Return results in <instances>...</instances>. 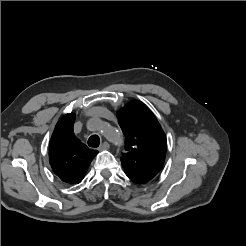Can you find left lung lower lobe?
<instances>
[{"label": "left lung lower lobe", "mask_w": 246, "mask_h": 246, "mask_svg": "<svg viewBox=\"0 0 246 246\" xmlns=\"http://www.w3.org/2000/svg\"><path fill=\"white\" fill-rule=\"evenodd\" d=\"M133 182L137 183V184H143L144 182H142L139 179L133 178V177H129Z\"/></svg>", "instance_id": "obj_1"}]
</instances>
